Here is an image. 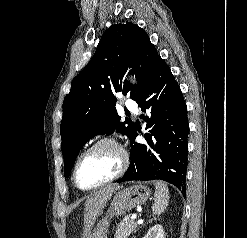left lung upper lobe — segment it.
Segmentation results:
<instances>
[{
    "instance_id": "5c2ea615",
    "label": "left lung upper lobe",
    "mask_w": 247,
    "mask_h": 238,
    "mask_svg": "<svg viewBox=\"0 0 247 238\" xmlns=\"http://www.w3.org/2000/svg\"><path fill=\"white\" fill-rule=\"evenodd\" d=\"M163 61L146 32L131 22L107 29L91 61L73 79L63 102L61 121L64 175H68L84 144L99 134L115 130L131 137L135 125L121 122L115 108V92L137 99L145 91L154 71ZM136 75L139 85L124 81V74Z\"/></svg>"
}]
</instances>
